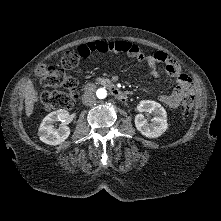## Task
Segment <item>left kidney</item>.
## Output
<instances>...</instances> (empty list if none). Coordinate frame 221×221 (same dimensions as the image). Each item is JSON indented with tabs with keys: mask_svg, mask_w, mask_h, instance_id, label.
I'll return each mask as SVG.
<instances>
[{
	"mask_svg": "<svg viewBox=\"0 0 221 221\" xmlns=\"http://www.w3.org/2000/svg\"><path fill=\"white\" fill-rule=\"evenodd\" d=\"M137 110L154 115L151 123H148L141 113L135 116V126L142 135L148 138H157L167 130V113L161 104L151 100H142L137 105Z\"/></svg>",
	"mask_w": 221,
	"mask_h": 221,
	"instance_id": "obj_1",
	"label": "left kidney"
}]
</instances>
